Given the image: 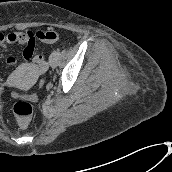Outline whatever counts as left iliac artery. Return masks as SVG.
I'll return each instance as SVG.
<instances>
[{
  "label": "left iliac artery",
  "mask_w": 172,
  "mask_h": 172,
  "mask_svg": "<svg viewBox=\"0 0 172 172\" xmlns=\"http://www.w3.org/2000/svg\"><path fill=\"white\" fill-rule=\"evenodd\" d=\"M55 53L59 56L60 55V51L57 49L55 50Z\"/></svg>",
  "instance_id": "left-iliac-artery-1"
}]
</instances>
